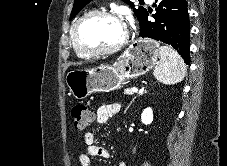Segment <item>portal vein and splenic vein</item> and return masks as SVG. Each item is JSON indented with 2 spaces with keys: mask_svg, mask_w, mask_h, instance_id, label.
<instances>
[{
  "mask_svg": "<svg viewBox=\"0 0 227 166\" xmlns=\"http://www.w3.org/2000/svg\"><path fill=\"white\" fill-rule=\"evenodd\" d=\"M137 92H138V88L133 87V88H132V93H137Z\"/></svg>",
  "mask_w": 227,
  "mask_h": 166,
  "instance_id": "portal-vein-and-splenic-vein-1",
  "label": "portal vein and splenic vein"
}]
</instances>
